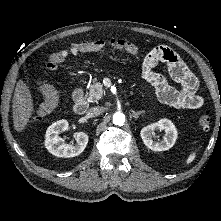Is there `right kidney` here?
<instances>
[{"instance_id":"obj_1","label":"right kidney","mask_w":221,"mask_h":221,"mask_svg":"<svg viewBox=\"0 0 221 221\" xmlns=\"http://www.w3.org/2000/svg\"><path fill=\"white\" fill-rule=\"evenodd\" d=\"M68 128L67 120H59L48 127L45 135V147L51 154L57 157L70 158L78 156L86 148L89 137L84 132L75 133V145L64 143V140L59 137V133L68 130Z\"/></svg>"}]
</instances>
